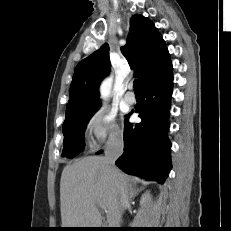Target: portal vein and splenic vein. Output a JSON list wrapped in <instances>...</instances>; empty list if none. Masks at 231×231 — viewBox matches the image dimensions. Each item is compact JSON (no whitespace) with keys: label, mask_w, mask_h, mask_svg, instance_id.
Instances as JSON below:
<instances>
[{"label":"portal vein and splenic vein","mask_w":231,"mask_h":231,"mask_svg":"<svg viewBox=\"0 0 231 231\" xmlns=\"http://www.w3.org/2000/svg\"><path fill=\"white\" fill-rule=\"evenodd\" d=\"M96 204H97L100 208L103 209V206H102L101 202H99L98 200H96Z\"/></svg>","instance_id":"1"}]
</instances>
